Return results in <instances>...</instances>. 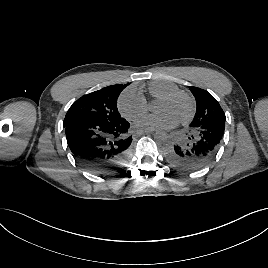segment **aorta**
<instances>
[{
    "label": "aorta",
    "instance_id": "obj_1",
    "mask_svg": "<svg viewBox=\"0 0 268 268\" xmlns=\"http://www.w3.org/2000/svg\"><path fill=\"white\" fill-rule=\"evenodd\" d=\"M154 138L157 142L162 143L166 140L167 135L164 131L159 130L155 133Z\"/></svg>",
    "mask_w": 268,
    "mask_h": 268
}]
</instances>
